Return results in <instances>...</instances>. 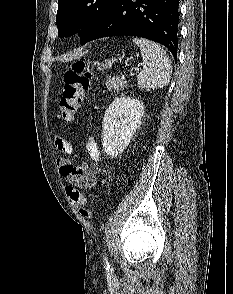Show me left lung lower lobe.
I'll return each mask as SVG.
<instances>
[{"label":"left lung lower lobe","instance_id":"left-lung-lower-lobe-1","mask_svg":"<svg viewBox=\"0 0 233 294\" xmlns=\"http://www.w3.org/2000/svg\"><path fill=\"white\" fill-rule=\"evenodd\" d=\"M178 0H114L88 41L107 36H138L177 55Z\"/></svg>","mask_w":233,"mask_h":294}]
</instances>
